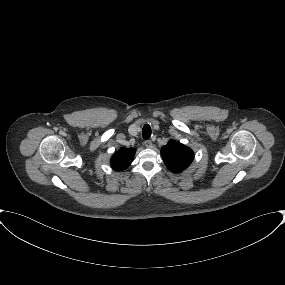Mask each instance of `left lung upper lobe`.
<instances>
[{"instance_id":"left-lung-upper-lobe-1","label":"left lung upper lobe","mask_w":285,"mask_h":285,"mask_svg":"<svg viewBox=\"0 0 285 285\" xmlns=\"http://www.w3.org/2000/svg\"><path fill=\"white\" fill-rule=\"evenodd\" d=\"M161 155L165 165L173 173H181L194 159V153L189 147L174 140L161 149Z\"/></svg>"}]
</instances>
